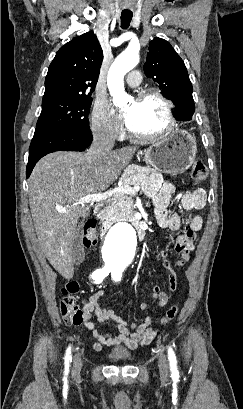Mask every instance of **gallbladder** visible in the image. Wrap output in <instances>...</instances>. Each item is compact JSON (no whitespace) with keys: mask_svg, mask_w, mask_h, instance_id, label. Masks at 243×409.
Listing matches in <instances>:
<instances>
[{"mask_svg":"<svg viewBox=\"0 0 243 409\" xmlns=\"http://www.w3.org/2000/svg\"><path fill=\"white\" fill-rule=\"evenodd\" d=\"M71 256L73 258V263L78 265L84 259V249L82 245V237L80 230L77 228V234L74 238L71 246Z\"/></svg>","mask_w":243,"mask_h":409,"instance_id":"gallbladder-1","label":"gallbladder"}]
</instances>
